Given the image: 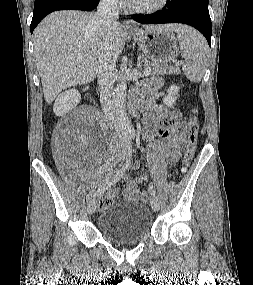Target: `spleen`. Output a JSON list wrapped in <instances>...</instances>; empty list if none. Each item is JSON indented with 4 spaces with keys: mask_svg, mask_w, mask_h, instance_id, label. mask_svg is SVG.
Here are the masks:
<instances>
[{
    "mask_svg": "<svg viewBox=\"0 0 253 285\" xmlns=\"http://www.w3.org/2000/svg\"><path fill=\"white\" fill-rule=\"evenodd\" d=\"M177 38L181 55L185 59L182 67L184 75L191 82L198 83L206 70L207 42L198 31L188 26L177 31Z\"/></svg>",
    "mask_w": 253,
    "mask_h": 285,
    "instance_id": "1",
    "label": "spleen"
}]
</instances>
